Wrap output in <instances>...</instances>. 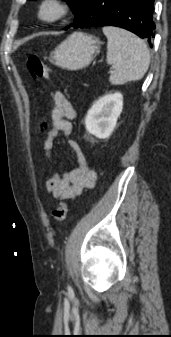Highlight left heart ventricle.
<instances>
[{"mask_svg":"<svg viewBox=\"0 0 171 337\" xmlns=\"http://www.w3.org/2000/svg\"><path fill=\"white\" fill-rule=\"evenodd\" d=\"M47 13H48V14H51V13H52V10H48Z\"/></svg>","mask_w":171,"mask_h":337,"instance_id":"1","label":"left heart ventricle"}]
</instances>
